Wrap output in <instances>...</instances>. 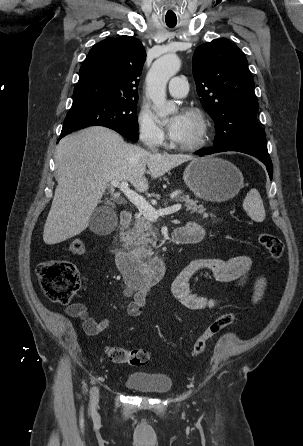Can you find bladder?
Listing matches in <instances>:
<instances>
[{
	"mask_svg": "<svg viewBox=\"0 0 303 446\" xmlns=\"http://www.w3.org/2000/svg\"><path fill=\"white\" fill-rule=\"evenodd\" d=\"M125 385L137 392L164 394L171 390L172 381L169 376L148 371H133L125 379Z\"/></svg>",
	"mask_w": 303,
	"mask_h": 446,
	"instance_id": "obj_1",
	"label": "bladder"
}]
</instances>
